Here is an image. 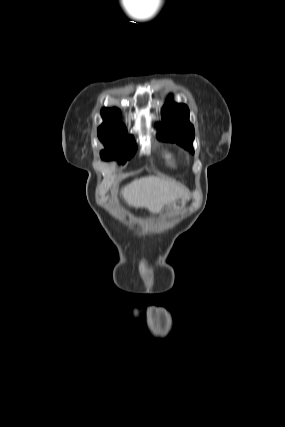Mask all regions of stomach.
I'll return each instance as SVG.
<instances>
[{
  "mask_svg": "<svg viewBox=\"0 0 285 427\" xmlns=\"http://www.w3.org/2000/svg\"><path fill=\"white\" fill-rule=\"evenodd\" d=\"M186 205V200H178L172 204L173 208L180 210L183 209Z\"/></svg>",
  "mask_w": 285,
  "mask_h": 427,
  "instance_id": "stomach-1",
  "label": "stomach"
}]
</instances>
